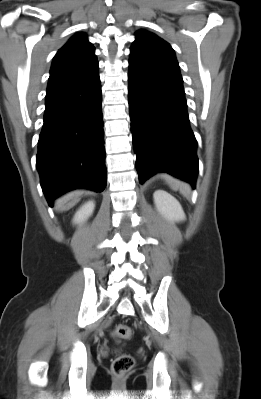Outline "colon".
Masks as SVG:
<instances>
[{"instance_id": "colon-1", "label": "colon", "mask_w": 261, "mask_h": 399, "mask_svg": "<svg viewBox=\"0 0 261 399\" xmlns=\"http://www.w3.org/2000/svg\"><path fill=\"white\" fill-rule=\"evenodd\" d=\"M132 328L128 325H116L113 328L112 335L115 339L126 340L132 337ZM134 365V359L128 354H119L112 362V371L116 375H123L129 372Z\"/></svg>"}]
</instances>
